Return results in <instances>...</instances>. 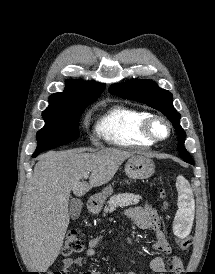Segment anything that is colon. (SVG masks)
<instances>
[{"label": "colon", "instance_id": "obj_1", "mask_svg": "<svg viewBox=\"0 0 215 274\" xmlns=\"http://www.w3.org/2000/svg\"><path fill=\"white\" fill-rule=\"evenodd\" d=\"M162 196L165 197V192L162 191ZM177 244L182 249H187L190 246L188 239H179ZM83 241L79 237L78 232L74 229L68 231L65 242L62 247V254L64 256H70L72 254L81 252L83 250ZM52 274H64L63 270L53 272Z\"/></svg>", "mask_w": 215, "mask_h": 274}]
</instances>
